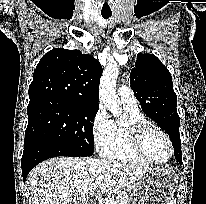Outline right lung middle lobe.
<instances>
[{
	"label": "right lung middle lobe",
	"mask_w": 206,
	"mask_h": 204,
	"mask_svg": "<svg viewBox=\"0 0 206 204\" xmlns=\"http://www.w3.org/2000/svg\"><path fill=\"white\" fill-rule=\"evenodd\" d=\"M99 106L42 99L29 102L24 148L35 143L61 145L76 156H92V122Z\"/></svg>",
	"instance_id": "right-lung-middle-lobe-1"
}]
</instances>
